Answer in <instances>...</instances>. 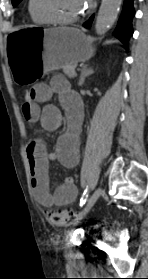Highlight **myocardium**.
Returning a JSON list of instances; mask_svg holds the SVG:
<instances>
[{
	"instance_id": "obj_1",
	"label": "myocardium",
	"mask_w": 148,
	"mask_h": 279,
	"mask_svg": "<svg viewBox=\"0 0 148 279\" xmlns=\"http://www.w3.org/2000/svg\"><path fill=\"white\" fill-rule=\"evenodd\" d=\"M31 10L32 13L38 17L39 19L57 25H70L79 22L83 18V14L81 13L78 16L72 18H58L49 14H45L38 9L37 0H31Z\"/></svg>"
}]
</instances>
